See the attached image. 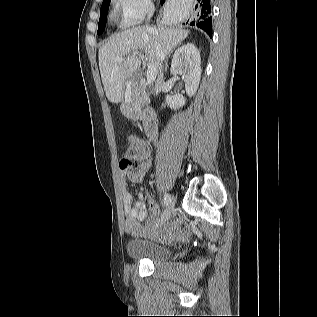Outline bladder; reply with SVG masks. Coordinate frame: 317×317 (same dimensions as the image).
Masks as SVG:
<instances>
[{
    "label": "bladder",
    "mask_w": 317,
    "mask_h": 317,
    "mask_svg": "<svg viewBox=\"0 0 317 317\" xmlns=\"http://www.w3.org/2000/svg\"><path fill=\"white\" fill-rule=\"evenodd\" d=\"M127 254L131 259L154 262L169 260L173 255L168 247L140 237L128 243Z\"/></svg>",
    "instance_id": "31cf9c89"
}]
</instances>
